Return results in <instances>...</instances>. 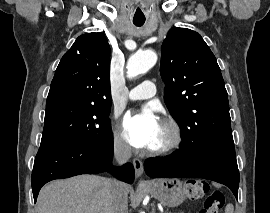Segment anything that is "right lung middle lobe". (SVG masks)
Returning a JSON list of instances; mask_svg holds the SVG:
<instances>
[{
  "label": "right lung middle lobe",
  "mask_w": 270,
  "mask_h": 213,
  "mask_svg": "<svg viewBox=\"0 0 270 213\" xmlns=\"http://www.w3.org/2000/svg\"><path fill=\"white\" fill-rule=\"evenodd\" d=\"M110 105L58 104L46 107L41 144L104 140L110 135Z\"/></svg>",
  "instance_id": "dd1d6c3e"
}]
</instances>
